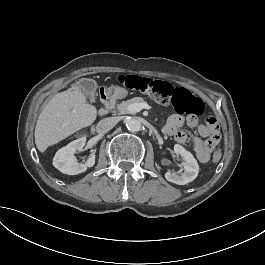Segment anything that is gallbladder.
<instances>
[{
    "label": "gallbladder",
    "instance_id": "gallbladder-1",
    "mask_svg": "<svg viewBox=\"0 0 265 265\" xmlns=\"http://www.w3.org/2000/svg\"><path fill=\"white\" fill-rule=\"evenodd\" d=\"M79 85L81 86V88H86L85 90H86V92H87V94L89 95V93H90V95H92L91 96V98H90V100H91V102H96V100H97V98H96V96H94L95 95V91H96V84L94 83H92V82H90L89 80H85V79H80L79 80Z\"/></svg>",
    "mask_w": 265,
    "mask_h": 265
}]
</instances>
